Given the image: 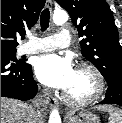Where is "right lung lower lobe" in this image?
<instances>
[{"mask_svg":"<svg viewBox=\"0 0 122 123\" xmlns=\"http://www.w3.org/2000/svg\"><path fill=\"white\" fill-rule=\"evenodd\" d=\"M37 89L30 64L1 54V97L29 100Z\"/></svg>","mask_w":122,"mask_h":123,"instance_id":"98d812e1","label":"right lung lower lobe"}]
</instances>
